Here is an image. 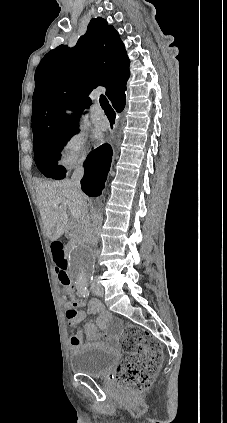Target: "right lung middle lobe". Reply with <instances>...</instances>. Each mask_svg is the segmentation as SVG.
<instances>
[{"instance_id":"obj_1","label":"right lung middle lobe","mask_w":227,"mask_h":423,"mask_svg":"<svg viewBox=\"0 0 227 423\" xmlns=\"http://www.w3.org/2000/svg\"><path fill=\"white\" fill-rule=\"evenodd\" d=\"M73 134L54 135L34 140L35 163L46 177L65 178L66 170L58 165L59 151L62 150Z\"/></svg>"}]
</instances>
